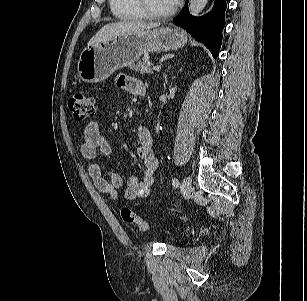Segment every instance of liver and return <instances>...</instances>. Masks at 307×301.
<instances>
[{
  "instance_id": "1",
  "label": "liver",
  "mask_w": 307,
  "mask_h": 301,
  "mask_svg": "<svg viewBox=\"0 0 307 301\" xmlns=\"http://www.w3.org/2000/svg\"><path fill=\"white\" fill-rule=\"evenodd\" d=\"M159 26V23H146L143 21H120L109 23L104 25L98 33L89 40L88 46L108 41L120 34L138 33Z\"/></svg>"
}]
</instances>
